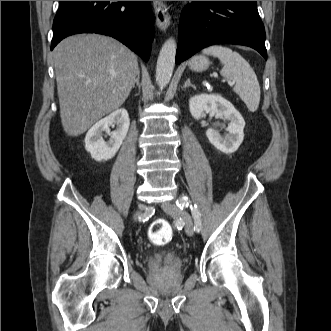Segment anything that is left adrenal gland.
Returning <instances> with one entry per match:
<instances>
[{
    "label": "left adrenal gland",
    "instance_id": "left-adrenal-gland-1",
    "mask_svg": "<svg viewBox=\"0 0 331 331\" xmlns=\"http://www.w3.org/2000/svg\"><path fill=\"white\" fill-rule=\"evenodd\" d=\"M191 86L192 88H195V86L190 82V79L188 78L183 86V88H187Z\"/></svg>",
    "mask_w": 331,
    "mask_h": 331
}]
</instances>
